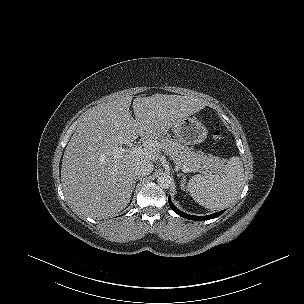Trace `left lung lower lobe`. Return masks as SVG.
Masks as SVG:
<instances>
[{
    "label": "left lung lower lobe",
    "mask_w": 304,
    "mask_h": 304,
    "mask_svg": "<svg viewBox=\"0 0 304 304\" xmlns=\"http://www.w3.org/2000/svg\"><path fill=\"white\" fill-rule=\"evenodd\" d=\"M168 201H169V205H170L171 209H172L175 213H177L178 215H180V216H182V217H184V218L190 219V220L201 221V220L213 219V218H216V217L220 216V215L225 211V210H222V211H219V212H217V213H214V214H211V215H207V216H193V215L186 214V213L180 211L179 209H177V208L173 205V203H172L170 197L168 198Z\"/></svg>",
    "instance_id": "1"
}]
</instances>
